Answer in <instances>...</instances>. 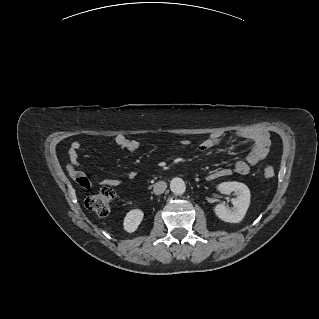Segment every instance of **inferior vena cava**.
I'll list each match as a JSON object with an SVG mask.
<instances>
[{"label":"inferior vena cava","mask_w":319,"mask_h":319,"mask_svg":"<svg viewBox=\"0 0 319 319\" xmlns=\"http://www.w3.org/2000/svg\"><path fill=\"white\" fill-rule=\"evenodd\" d=\"M167 188V184L165 181H158L154 184V188H153V192L156 194V195H160L162 193H164V191L166 190Z\"/></svg>","instance_id":"obj_1"}]
</instances>
